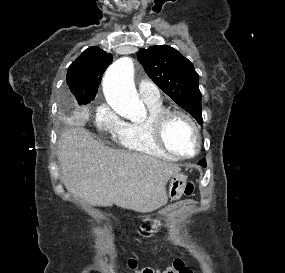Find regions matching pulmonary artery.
I'll use <instances>...</instances> for the list:
<instances>
[{
	"instance_id": "1",
	"label": "pulmonary artery",
	"mask_w": 285,
	"mask_h": 273,
	"mask_svg": "<svg viewBox=\"0 0 285 273\" xmlns=\"http://www.w3.org/2000/svg\"><path fill=\"white\" fill-rule=\"evenodd\" d=\"M138 90L144 102L161 101V94L158 87L149 79L140 80Z\"/></svg>"
}]
</instances>
